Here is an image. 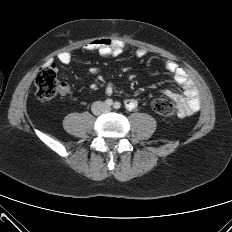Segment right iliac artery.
Instances as JSON below:
<instances>
[{
	"mask_svg": "<svg viewBox=\"0 0 232 232\" xmlns=\"http://www.w3.org/2000/svg\"><path fill=\"white\" fill-rule=\"evenodd\" d=\"M105 104H106V106L110 107V106L113 105V100L110 99V98H108V99L105 101Z\"/></svg>",
	"mask_w": 232,
	"mask_h": 232,
	"instance_id": "82829eb1",
	"label": "right iliac artery"
}]
</instances>
